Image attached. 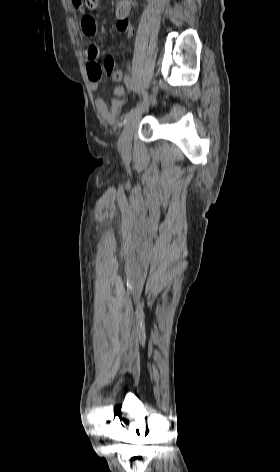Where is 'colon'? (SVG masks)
<instances>
[{
  "label": "colon",
  "instance_id": "1",
  "mask_svg": "<svg viewBox=\"0 0 280 472\" xmlns=\"http://www.w3.org/2000/svg\"><path fill=\"white\" fill-rule=\"evenodd\" d=\"M75 2L82 3L85 8H94L97 6L99 0H77ZM104 68L109 77L115 81H120L122 78V70L117 68L113 59H105Z\"/></svg>",
  "mask_w": 280,
  "mask_h": 472
}]
</instances>
